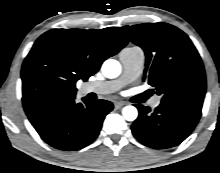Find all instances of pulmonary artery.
<instances>
[{
  "instance_id": "obj_1",
  "label": "pulmonary artery",
  "mask_w": 220,
  "mask_h": 173,
  "mask_svg": "<svg viewBox=\"0 0 220 173\" xmlns=\"http://www.w3.org/2000/svg\"><path fill=\"white\" fill-rule=\"evenodd\" d=\"M123 71L120 78L105 82H92L88 84V91L97 94H110L122 86L136 79L142 72L145 62V55L139 48L125 49L120 55ZM153 106L159 104V98H155Z\"/></svg>"
}]
</instances>
